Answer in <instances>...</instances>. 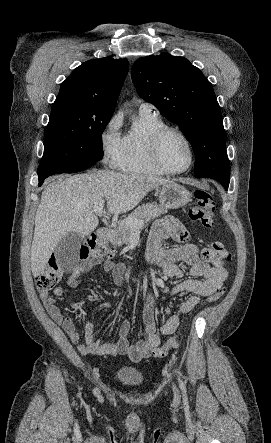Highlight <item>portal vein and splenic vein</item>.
Returning a JSON list of instances; mask_svg holds the SVG:
<instances>
[{
    "label": "portal vein and splenic vein",
    "instance_id": "portal-vein-and-splenic-vein-1",
    "mask_svg": "<svg viewBox=\"0 0 271 443\" xmlns=\"http://www.w3.org/2000/svg\"><path fill=\"white\" fill-rule=\"evenodd\" d=\"M104 204H105V202H103V200H101V202H99V204H95V206H93V212H94V214H96V216H100V214H102ZM122 223H126V225H143L144 222H143V220H135V218H126V222H122Z\"/></svg>",
    "mask_w": 271,
    "mask_h": 443
}]
</instances>
